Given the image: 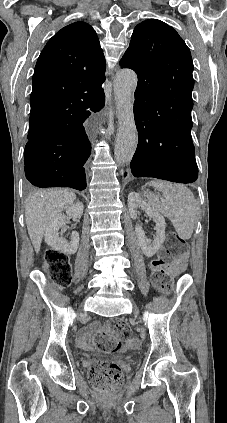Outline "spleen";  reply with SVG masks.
I'll return each mask as SVG.
<instances>
[{"instance_id":"3e777b00","label":"spleen","mask_w":227,"mask_h":423,"mask_svg":"<svg viewBox=\"0 0 227 423\" xmlns=\"http://www.w3.org/2000/svg\"><path fill=\"white\" fill-rule=\"evenodd\" d=\"M146 186H153L163 194L162 198L159 194H146L149 206L169 217L179 237L189 239L197 219L196 200L191 190L182 184H170L162 180H151Z\"/></svg>"}]
</instances>
